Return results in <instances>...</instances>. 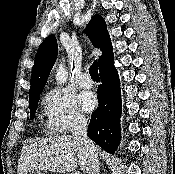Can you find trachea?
<instances>
[{
    "label": "trachea",
    "instance_id": "3493384b",
    "mask_svg": "<svg viewBox=\"0 0 175 174\" xmlns=\"http://www.w3.org/2000/svg\"><path fill=\"white\" fill-rule=\"evenodd\" d=\"M90 76L93 80H100L99 74H98V67H97V61L95 60L90 67Z\"/></svg>",
    "mask_w": 175,
    "mask_h": 174
}]
</instances>
